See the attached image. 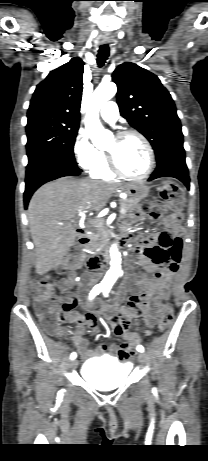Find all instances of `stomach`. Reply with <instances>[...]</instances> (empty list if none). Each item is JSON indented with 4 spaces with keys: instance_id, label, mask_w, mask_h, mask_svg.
Returning <instances> with one entry per match:
<instances>
[{
    "instance_id": "0dacf381",
    "label": "stomach",
    "mask_w": 208,
    "mask_h": 461,
    "mask_svg": "<svg viewBox=\"0 0 208 461\" xmlns=\"http://www.w3.org/2000/svg\"><path fill=\"white\" fill-rule=\"evenodd\" d=\"M131 198L141 200L148 196L149 187L143 183H131L124 190Z\"/></svg>"
}]
</instances>
